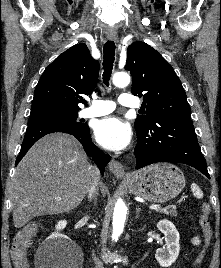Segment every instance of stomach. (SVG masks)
Here are the masks:
<instances>
[{"label": "stomach", "instance_id": "stomach-1", "mask_svg": "<svg viewBox=\"0 0 221 268\" xmlns=\"http://www.w3.org/2000/svg\"><path fill=\"white\" fill-rule=\"evenodd\" d=\"M126 181L132 194L163 203L175 198L185 187L183 172L170 163H158L130 174Z\"/></svg>", "mask_w": 221, "mask_h": 268}]
</instances>
